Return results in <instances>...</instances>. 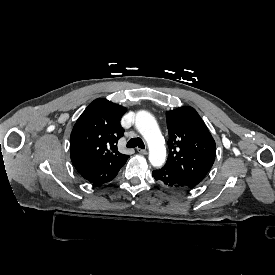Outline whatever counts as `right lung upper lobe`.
<instances>
[{
  "mask_svg": "<svg viewBox=\"0 0 275 275\" xmlns=\"http://www.w3.org/2000/svg\"><path fill=\"white\" fill-rule=\"evenodd\" d=\"M126 111L125 107L104 98L87 106L70 136V157L79 173L103 165L126 163L129 156L117 149V142L124 133L120 120Z\"/></svg>",
  "mask_w": 275,
  "mask_h": 275,
  "instance_id": "right-lung-upper-lobe-1",
  "label": "right lung upper lobe"
}]
</instances>
